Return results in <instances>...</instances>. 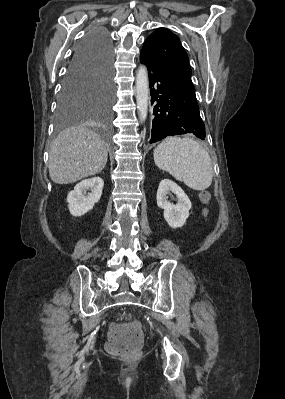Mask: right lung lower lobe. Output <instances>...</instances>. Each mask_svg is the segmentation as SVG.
I'll return each instance as SVG.
<instances>
[{
    "label": "right lung lower lobe",
    "instance_id": "right-lung-lower-lobe-1",
    "mask_svg": "<svg viewBox=\"0 0 285 399\" xmlns=\"http://www.w3.org/2000/svg\"><path fill=\"white\" fill-rule=\"evenodd\" d=\"M113 49L111 38L103 28L91 29L74 51L67 75L94 73L112 74Z\"/></svg>",
    "mask_w": 285,
    "mask_h": 399
}]
</instances>
